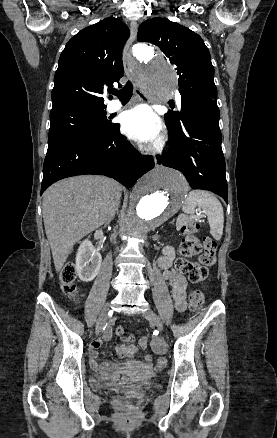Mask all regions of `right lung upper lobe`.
<instances>
[{
  "instance_id": "obj_1",
  "label": "right lung upper lobe",
  "mask_w": 277,
  "mask_h": 438,
  "mask_svg": "<svg viewBox=\"0 0 277 438\" xmlns=\"http://www.w3.org/2000/svg\"><path fill=\"white\" fill-rule=\"evenodd\" d=\"M128 37V27L116 18H106L72 37L55 73L50 114L106 108L100 95L124 75L122 48Z\"/></svg>"
}]
</instances>
